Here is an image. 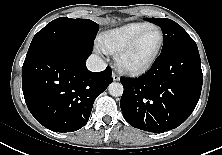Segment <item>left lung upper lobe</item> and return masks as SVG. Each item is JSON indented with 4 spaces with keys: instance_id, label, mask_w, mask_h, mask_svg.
<instances>
[{
    "instance_id": "left-lung-upper-lobe-1",
    "label": "left lung upper lobe",
    "mask_w": 222,
    "mask_h": 155,
    "mask_svg": "<svg viewBox=\"0 0 222 155\" xmlns=\"http://www.w3.org/2000/svg\"><path fill=\"white\" fill-rule=\"evenodd\" d=\"M161 27L163 32V47L161 54L179 48H197L194 40L176 22L168 18H146Z\"/></svg>"
}]
</instances>
